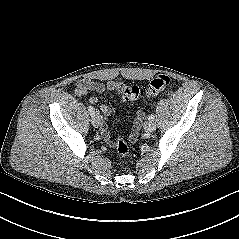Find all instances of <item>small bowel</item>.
I'll use <instances>...</instances> for the list:
<instances>
[{"label": "small bowel", "mask_w": 239, "mask_h": 239, "mask_svg": "<svg viewBox=\"0 0 239 239\" xmlns=\"http://www.w3.org/2000/svg\"><path fill=\"white\" fill-rule=\"evenodd\" d=\"M124 84L120 81H109L108 83L104 84L101 82H96L90 79H80L76 82L74 88V94L78 97L85 95L88 92H96V93H105V92H115L116 94H121L123 92ZM90 103L96 105L98 100L96 97L90 98ZM100 112L102 114L101 121V136L102 139L106 142H110L109 132L106 127V120L111 115V108L103 104L100 106ZM142 114L139 115L136 121L135 128L131 132L130 139L131 141L135 142L138 137V129H139V122L141 121Z\"/></svg>", "instance_id": "small-bowel-1"}]
</instances>
